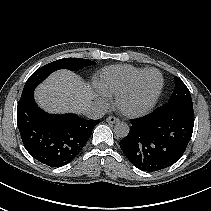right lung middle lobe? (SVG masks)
Wrapping results in <instances>:
<instances>
[{
    "label": "right lung middle lobe",
    "instance_id": "dd1d6c3e",
    "mask_svg": "<svg viewBox=\"0 0 211 211\" xmlns=\"http://www.w3.org/2000/svg\"><path fill=\"white\" fill-rule=\"evenodd\" d=\"M94 62L82 58H64L51 62L40 69L36 70L27 80L22 95L34 91L36 86L46 79L52 72L59 69L78 70L80 68L92 65Z\"/></svg>",
    "mask_w": 211,
    "mask_h": 211
}]
</instances>
